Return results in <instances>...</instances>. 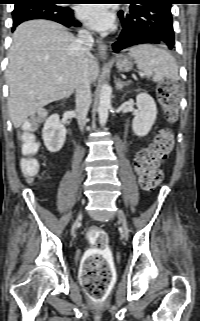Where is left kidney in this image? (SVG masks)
Segmentation results:
<instances>
[{"label":"left kidney","mask_w":200,"mask_h":321,"mask_svg":"<svg viewBox=\"0 0 200 321\" xmlns=\"http://www.w3.org/2000/svg\"><path fill=\"white\" fill-rule=\"evenodd\" d=\"M137 114L132 121V130L138 137L146 136L155 123L157 107L154 99L147 93L136 97Z\"/></svg>","instance_id":"obj_1"}]
</instances>
